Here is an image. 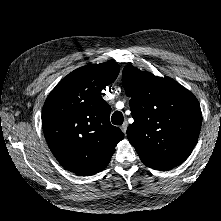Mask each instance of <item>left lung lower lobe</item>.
I'll return each mask as SVG.
<instances>
[{
  "label": "left lung lower lobe",
  "instance_id": "left-lung-lower-lobe-1",
  "mask_svg": "<svg viewBox=\"0 0 221 221\" xmlns=\"http://www.w3.org/2000/svg\"><path fill=\"white\" fill-rule=\"evenodd\" d=\"M150 168H153V169H157V170H161V171H167L169 170V168L167 167H164V166H160V165H154V164H151V165H146Z\"/></svg>",
  "mask_w": 221,
  "mask_h": 221
}]
</instances>
